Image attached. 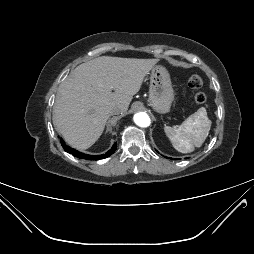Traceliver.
<instances>
[{"label": "liver", "instance_id": "liver-1", "mask_svg": "<svg viewBox=\"0 0 254 254\" xmlns=\"http://www.w3.org/2000/svg\"><path fill=\"white\" fill-rule=\"evenodd\" d=\"M158 59L101 56L77 66L58 89L53 123L72 147L85 150L102 135L110 110H128Z\"/></svg>", "mask_w": 254, "mask_h": 254}]
</instances>
